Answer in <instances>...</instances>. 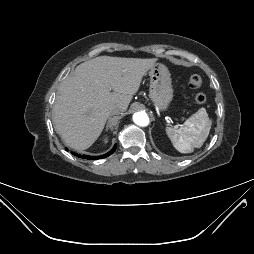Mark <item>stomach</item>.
<instances>
[{
    "mask_svg": "<svg viewBox=\"0 0 254 254\" xmlns=\"http://www.w3.org/2000/svg\"><path fill=\"white\" fill-rule=\"evenodd\" d=\"M149 76L150 99L161 111H166L173 99L170 72L165 65L156 63L150 68Z\"/></svg>",
    "mask_w": 254,
    "mask_h": 254,
    "instance_id": "0dacf381",
    "label": "stomach"
}]
</instances>
